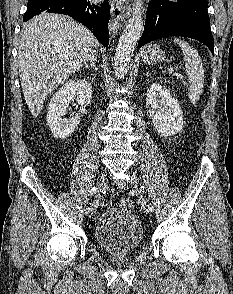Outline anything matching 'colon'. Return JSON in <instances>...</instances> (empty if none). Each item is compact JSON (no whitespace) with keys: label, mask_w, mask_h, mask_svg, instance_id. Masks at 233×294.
Returning a JSON list of instances; mask_svg holds the SVG:
<instances>
[{"label":"colon","mask_w":233,"mask_h":294,"mask_svg":"<svg viewBox=\"0 0 233 294\" xmlns=\"http://www.w3.org/2000/svg\"><path fill=\"white\" fill-rule=\"evenodd\" d=\"M119 205L123 209H130L132 207V201L129 199H123L120 201Z\"/></svg>","instance_id":"obj_1"}]
</instances>
